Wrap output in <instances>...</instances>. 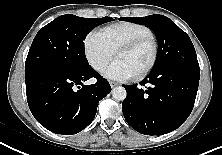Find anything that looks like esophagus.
<instances>
[{
  "instance_id": "obj_1",
  "label": "esophagus",
  "mask_w": 222,
  "mask_h": 155,
  "mask_svg": "<svg viewBox=\"0 0 222 155\" xmlns=\"http://www.w3.org/2000/svg\"><path fill=\"white\" fill-rule=\"evenodd\" d=\"M117 85H118L117 82L110 81V86H111V88H114V87H116Z\"/></svg>"
}]
</instances>
